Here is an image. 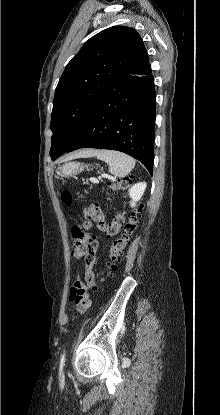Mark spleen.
<instances>
[{
	"label": "spleen",
	"mask_w": 220,
	"mask_h": 415,
	"mask_svg": "<svg viewBox=\"0 0 220 415\" xmlns=\"http://www.w3.org/2000/svg\"><path fill=\"white\" fill-rule=\"evenodd\" d=\"M96 157L109 165V172L117 177H125L135 167V160L118 151H96Z\"/></svg>",
	"instance_id": "3e777b00"
}]
</instances>
